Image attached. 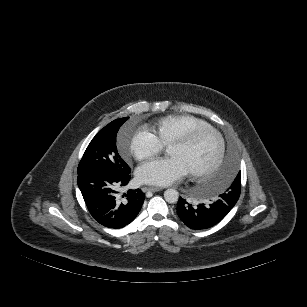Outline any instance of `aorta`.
<instances>
[{
  "mask_svg": "<svg viewBox=\"0 0 307 307\" xmlns=\"http://www.w3.org/2000/svg\"><path fill=\"white\" fill-rule=\"evenodd\" d=\"M164 199L166 200V202L168 203H176L179 199V193L177 190L175 189H167L164 192Z\"/></svg>",
  "mask_w": 307,
  "mask_h": 307,
  "instance_id": "aorta-1",
  "label": "aorta"
}]
</instances>
